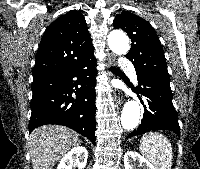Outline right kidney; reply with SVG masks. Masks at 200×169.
Wrapping results in <instances>:
<instances>
[{
    "label": "right kidney",
    "mask_w": 200,
    "mask_h": 169,
    "mask_svg": "<svg viewBox=\"0 0 200 169\" xmlns=\"http://www.w3.org/2000/svg\"><path fill=\"white\" fill-rule=\"evenodd\" d=\"M88 159V151L85 147H74L62 157L57 169H72L76 165L78 169H84Z\"/></svg>",
    "instance_id": "ca27d5eb"
}]
</instances>
